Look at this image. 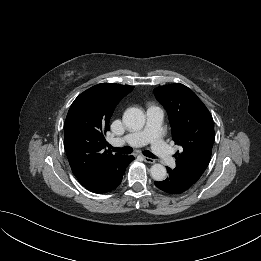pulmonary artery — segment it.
<instances>
[{"mask_svg":"<svg viewBox=\"0 0 261 261\" xmlns=\"http://www.w3.org/2000/svg\"><path fill=\"white\" fill-rule=\"evenodd\" d=\"M163 110L157 106H151L147 110V122L143 129L128 133L113 141L115 145L129 144L131 146H142L151 143L153 152L160 158L161 162L167 166L174 165V157L161 138V124L163 121Z\"/></svg>","mask_w":261,"mask_h":261,"instance_id":"e3ab8cb5","label":"pulmonary artery"}]
</instances>
